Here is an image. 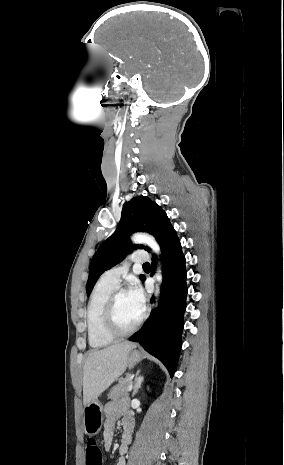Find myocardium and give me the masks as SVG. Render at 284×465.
<instances>
[{
  "label": "myocardium",
  "mask_w": 284,
  "mask_h": 465,
  "mask_svg": "<svg viewBox=\"0 0 284 465\" xmlns=\"http://www.w3.org/2000/svg\"><path fill=\"white\" fill-rule=\"evenodd\" d=\"M123 293H125V291L116 290L110 295L104 315V331L108 336H110L114 340H122L134 335L145 318V314L141 313V316L137 323L127 332H120L117 329V299L118 296Z\"/></svg>",
  "instance_id": "1"
}]
</instances>
